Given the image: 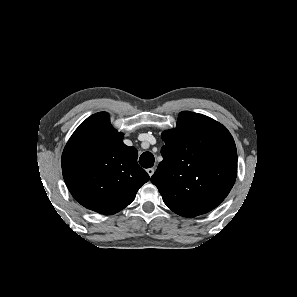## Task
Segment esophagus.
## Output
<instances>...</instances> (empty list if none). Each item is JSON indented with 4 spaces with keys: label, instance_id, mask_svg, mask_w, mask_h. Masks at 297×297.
Segmentation results:
<instances>
[{
    "label": "esophagus",
    "instance_id": "obj_1",
    "mask_svg": "<svg viewBox=\"0 0 297 297\" xmlns=\"http://www.w3.org/2000/svg\"><path fill=\"white\" fill-rule=\"evenodd\" d=\"M148 175L151 177L154 174V168H148L147 170Z\"/></svg>",
    "mask_w": 297,
    "mask_h": 297
}]
</instances>
